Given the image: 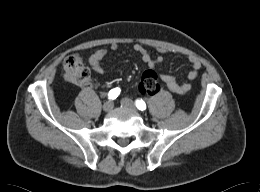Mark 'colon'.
Instances as JSON below:
<instances>
[{
  "mask_svg": "<svg viewBox=\"0 0 260 192\" xmlns=\"http://www.w3.org/2000/svg\"><path fill=\"white\" fill-rule=\"evenodd\" d=\"M65 78L68 81L78 83L82 86H90L91 79L89 70L76 57H69L65 60Z\"/></svg>",
  "mask_w": 260,
  "mask_h": 192,
  "instance_id": "colon-1",
  "label": "colon"
}]
</instances>
